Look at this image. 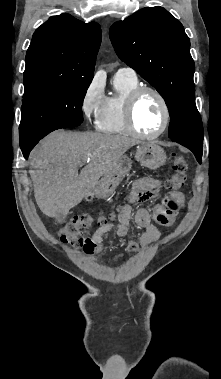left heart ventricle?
<instances>
[{"instance_id": "left-heart-ventricle-1", "label": "left heart ventricle", "mask_w": 221, "mask_h": 379, "mask_svg": "<svg viewBox=\"0 0 221 379\" xmlns=\"http://www.w3.org/2000/svg\"><path fill=\"white\" fill-rule=\"evenodd\" d=\"M135 125L145 134L157 132L163 122V111L157 97L152 93H144L138 99L134 112Z\"/></svg>"}]
</instances>
